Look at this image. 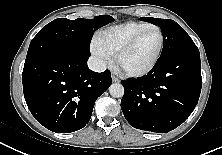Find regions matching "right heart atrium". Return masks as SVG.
Returning <instances> with one entry per match:
<instances>
[{
  "label": "right heart atrium",
  "instance_id": "right-heart-atrium-1",
  "mask_svg": "<svg viewBox=\"0 0 222 155\" xmlns=\"http://www.w3.org/2000/svg\"><path fill=\"white\" fill-rule=\"evenodd\" d=\"M91 52L101 65L106 64L111 58V54L102 47L97 38L91 42Z\"/></svg>",
  "mask_w": 222,
  "mask_h": 155
}]
</instances>
